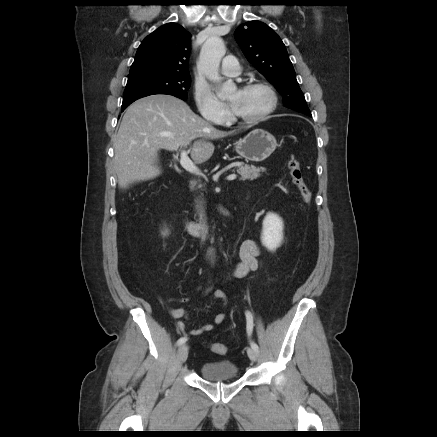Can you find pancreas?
<instances>
[{
	"instance_id": "1",
	"label": "pancreas",
	"mask_w": 437,
	"mask_h": 437,
	"mask_svg": "<svg viewBox=\"0 0 437 437\" xmlns=\"http://www.w3.org/2000/svg\"><path fill=\"white\" fill-rule=\"evenodd\" d=\"M264 171L265 168L262 167L259 168L253 165L250 166L243 163H240L237 166V173L240 174L241 180H246V179L254 180L260 176V172H264Z\"/></svg>"
}]
</instances>
